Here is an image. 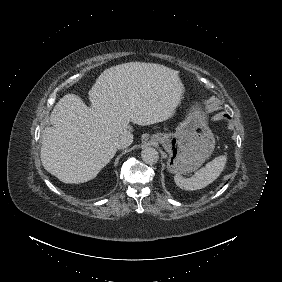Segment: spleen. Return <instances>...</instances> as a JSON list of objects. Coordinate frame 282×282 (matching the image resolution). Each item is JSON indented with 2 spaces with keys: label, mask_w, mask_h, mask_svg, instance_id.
<instances>
[{
  "label": "spleen",
  "mask_w": 282,
  "mask_h": 282,
  "mask_svg": "<svg viewBox=\"0 0 282 282\" xmlns=\"http://www.w3.org/2000/svg\"><path fill=\"white\" fill-rule=\"evenodd\" d=\"M228 161V155L224 154L216 157L207 163L190 178H183L181 175L174 176L176 186L185 191H197L206 188L216 181L222 174Z\"/></svg>",
  "instance_id": "1"
}]
</instances>
